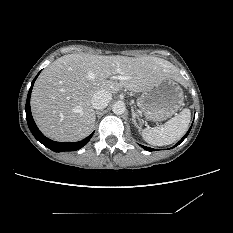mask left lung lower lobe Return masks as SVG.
Instances as JSON below:
<instances>
[{"mask_svg": "<svg viewBox=\"0 0 233 233\" xmlns=\"http://www.w3.org/2000/svg\"><path fill=\"white\" fill-rule=\"evenodd\" d=\"M191 128H192V125H191L190 129L187 131V133L184 135V137L174 147H176L177 145H179L188 136ZM142 148H144L147 151H153L154 150L152 148H149V147H146V146H143V145H142Z\"/></svg>", "mask_w": 233, "mask_h": 233, "instance_id": "left-lung-lower-lobe-1", "label": "left lung lower lobe"}]
</instances>
